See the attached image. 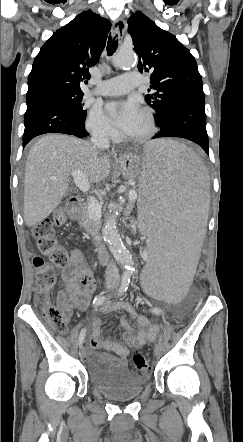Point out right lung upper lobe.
<instances>
[{
    "label": "right lung upper lobe",
    "mask_w": 243,
    "mask_h": 442,
    "mask_svg": "<svg viewBox=\"0 0 243 442\" xmlns=\"http://www.w3.org/2000/svg\"><path fill=\"white\" fill-rule=\"evenodd\" d=\"M110 26L107 19L85 11L53 33L33 62L27 96L53 89L82 92L80 82L90 78L89 67L98 62Z\"/></svg>",
    "instance_id": "right-lung-upper-lobe-1"
}]
</instances>
